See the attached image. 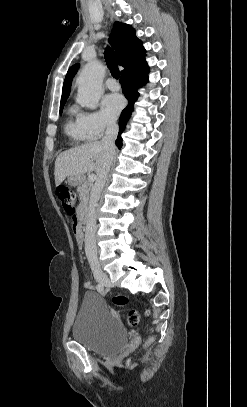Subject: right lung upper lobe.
<instances>
[{
  "label": "right lung upper lobe",
  "mask_w": 247,
  "mask_h": 407,
  "mask_svg": "<svg viewBox=\"0 0 247 407\" xmlns=\"http://www.w3.org/2000/svg\"><path fill=\"white\" fill-rule=\"evenodd\" d=\"M110 43L116 50L117 63L124 67L121 73L144 60L145 49L130 25L115 22L110 35ZM78 68L79 64H75L68 70L63 84L61 102L66 101L68 98L72 78Z\"/></svg>",
  "instance_id": "1"
}]
</instances>
